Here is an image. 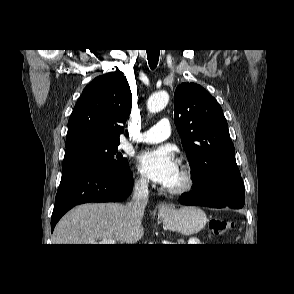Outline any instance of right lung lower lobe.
<instances>
[{"instance_id":"98d812e1","label":"right lung lower lobe","mask_w":294,"mask_h":294,"mask_svg":"<svg viewBox=\"0 0 294 294\" xmlns=\"http://www.w3.org/2000/svg\"><path fill=\"white\" fill-rule=\"evenodd\" d=\"M132 172L97 168L75 169L62 175L51 218V231L72 207L88 202H116L126 199L132 189Z\"/></svg>"}]
</instances>
